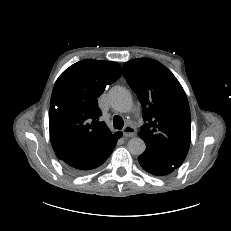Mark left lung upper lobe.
Masks as SVG:
<instances>
[{
    "label": "left lung upper lobe",
    "instance_id": "5c2ea615",
    "mask_svg": "<svg viewBox=\"0 0 231 231\" xmlns=\"http://www.w3.org/2000/svg\"><path fill=\"white\" fill-rule=\"evenodd\" d=\"M123 75L143 106L146 124L139 135L146 146L186 155L191 140L190 109L176 77L150 58L125 62Z\"/></svg>",
    "mask_w": 231,
    "mask_h": 231
}]
</instances>
